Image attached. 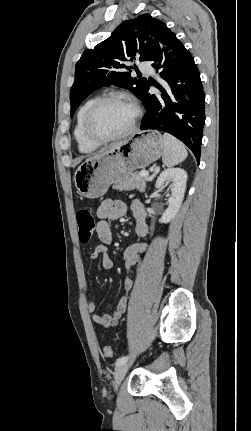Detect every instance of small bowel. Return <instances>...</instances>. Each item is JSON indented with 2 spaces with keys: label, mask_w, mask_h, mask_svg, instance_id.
Instances as JSON below:
<instances>
[{
  "label": "small bowel",
  "mask_w": 251,
  "mask_h": 431,
  "mask_svg": "<svg viewBox=\"0 0 251 431\" xmlns=\"http://www.w3.org/2000/svg\"><path fill=\"white\" fill-rule=\"evenodd\" d=\"M132 210L136 219V233L146 238L148 233V226L146 224V211L143 205L136 201L132 204ZM127 213V206L120 200L106 199L101 202L97 209V217L99 219L96 226L97 237L100 241L90 255V261L93 262L99 257L102 258V266L106 270L113 268V262L108 255V246L113 242V234L110 229L109 221L118 220L125 216ZM147 249V244L144 242L134 243L127 247L124 252L125 266L127 272L137 263L140 255ZM87 286V285H86ZM124 287L126 290L132 288V281L126 277ZM127 297L123 296L111 314H99L96 312L97 305L95 301L88 297L87 308L91 313L92 320L95 324L103 327L116 326L118 320L121 318L127 307Z\"/></svg>",
  "instance_id": "small-bowel-1"
}]
</instances>
